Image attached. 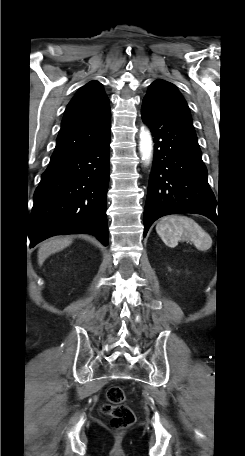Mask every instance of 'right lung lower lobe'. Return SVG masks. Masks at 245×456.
<instances>
[{
    "mask_svg": "<svg viewBox=\"0 0 245 456\" xmlns=\"http://www.w3.org/2000/svg\"><path fill=\"white\" fill-rule=\"evenodd\" d=\"M110 126L89 146L51 158L35 190L30 247L60 234H94L108 245Z\"/></svg>",
    "mask_w": 245,
    "mask_h": 456,
    "instance_id": "98d812e1",
    "label": "right lung lower lobe"
}]
</instances>
